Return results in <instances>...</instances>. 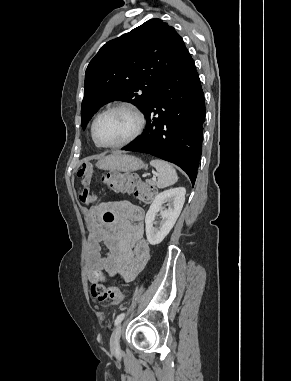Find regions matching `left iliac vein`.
I'll list each match as a JSON object with an SVG mask.
<instances>
[{"mask_svg": "<svg viewBox=\"0 0 291 381\" xmlns=\"http://www.w3.org/2000/svg\"><path fill=\"white\" fill-rule=\"evenodd\" d=\"M121 332H122V327L121 325H118L111 336L110 347H111V350L113 351H117L120 348L119 341H120Z\"/></svg>", "mask_w": 291, "mask_h": 381, "instance_id": "left-iliac-vein-1", "label": "left iliac vein"}]
</instances>
